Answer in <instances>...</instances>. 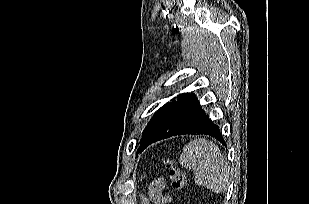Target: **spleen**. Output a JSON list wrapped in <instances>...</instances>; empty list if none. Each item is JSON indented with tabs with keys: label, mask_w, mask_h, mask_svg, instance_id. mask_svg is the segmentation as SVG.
Masks as SVG:
<instances>
[{
	"label": "spleen",
	"mask_w": 309,
	"mask_h": 204,
	"mask_svg": "<svg viewBox=\"0 0 309 204\" xmlns=\"http://www.w3.org/2000/svg\"><path fill=\"white\" fill-rule=\"evenodd\" d=\"M180 164L194 171L195 183L216 193L227 189L230 168L220 149L207 139H196L185 145Z\"/></svg>",
	"instance_id": "3e777b00"
}]
</instances>
